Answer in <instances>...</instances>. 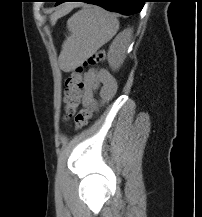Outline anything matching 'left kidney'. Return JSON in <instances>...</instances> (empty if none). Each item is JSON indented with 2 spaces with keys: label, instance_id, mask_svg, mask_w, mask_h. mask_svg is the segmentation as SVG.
Here are the masks:
<instances>
[{
  "label": "left kidney",
  "instance_id": "left-kidney-1",
  "mask_svg": "<svg viewBox=\"0 0 202 217\" xmlns=\"http://www.w3.org/2000/svg\"><path fill=\"white\" fill-rule=\"evenodd\" d=\"M127 41L119 36L109 47L108 63L112 70H118L126 58Z\"/></svg>",
  "mask_w": 202,
  "mask_h": 217
}]
</instances>
